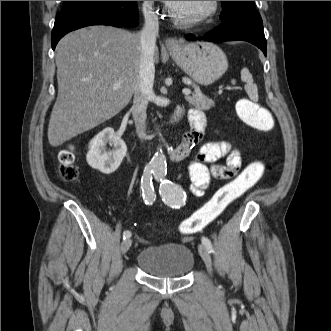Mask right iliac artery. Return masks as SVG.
<instances>
[{
	"instance_id": "1",
	"label": "right iliac artery",
	"mask_w": 331,
	"mask_h": 331,
	"mask_svg": "<svg viewBox=\"0 0 331 331\" xmlns=\"http://www.w3.org/2000/svg\"><path fill=\"white\" fill-rule=\"evenodd\" d=\"M152 174H154V169L151 166H147L144 170L141 180L143 199L144 202L148 205H151L155 201V197H156L152 183ZM130 237H131V232L129 230L124 231L123 238L126 239Z\"/></svg>"
}]
</instances>
